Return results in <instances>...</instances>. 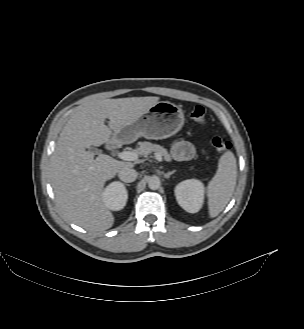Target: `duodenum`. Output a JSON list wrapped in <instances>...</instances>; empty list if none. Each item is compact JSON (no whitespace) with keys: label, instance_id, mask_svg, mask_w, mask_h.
I'll return each mask as SVG.
<instances>
[{"label":"duodenum","instance_id":"duodenum-1","mask_svg":"<svg viewBox=\"0 0 304 329\" xmlns=\"http://www.w3.org/2000/svg\"><path fill=\"white\" fill-rule=\"evenodd\" d=\"M118 147H116V146H113V145H109L108 146V149L109 150H116Z\"/></svg>","mask_w":304,"mask_h":329}]
</instances>
